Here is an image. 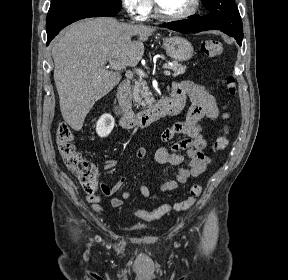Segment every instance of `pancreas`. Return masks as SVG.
I'll return each instance as SVG.
<instances>
[{"mask_svg":"<svg viewBox=\"0 0 288 280\" xmlns=\"http://www.w3.org/2000/svg\"><path fill=\"white\" fill-rule=\"evenodd\" d=\"M165 66H167L173 71L174 77L183 74L187 69L186 66H183L176 61L165 64ZM133 100L136 103L137 107H145L153 102V98L151 93L149 92L147 83L142 79V76H140V78L135 81L133 85Z\"/></svg>","mask_w":288,"mask_h":280,"instance_id":"obj_1","label":"pancreas"}]
</instances>
